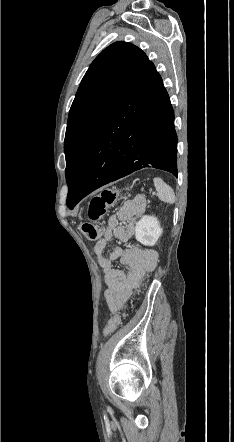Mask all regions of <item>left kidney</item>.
Masks as SVG:
<instances>
[{
    "instance_id": "1",
    "label": "left kidney",
    "mask_w": 234,
    "mask_h": 442,
    "mask_svg": "<svg viewBox=\"0 0 234 442\" xmlns=\"http://www.w3.org/2000/svg\"><path fill=\"white\" fill-rule=\"evenodd\" d=\"M163 230L154 216H143L136 224V240L144 246H154Z\"/></svg>"
}]
</instances>
